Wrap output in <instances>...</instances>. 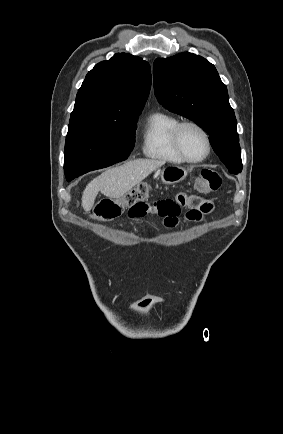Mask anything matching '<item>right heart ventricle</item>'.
Listing matches in <instances>:
<instances>
[{"instance_id": "1", "label": "right heart ventricle", "mask_w": 283, "mask_h": 434, "mask_svg": "<svg viewBox=\"0 0 283 434\" xmlns=\"http://www.w3.org/2000/svg\"><path fill=\"white\" fill-rule=\"evenodd\" d=\"M179 122L177 117L169 113H152L143 129L144 155L165 163H183L184 160L177 154L172 142L173 130Z\"/></svg>"}]
</instances>
